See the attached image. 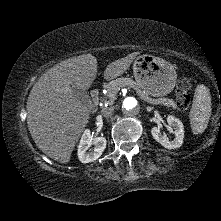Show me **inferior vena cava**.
<instances>
[{"mask_svg":"<svg viewBox=\"0 0 221 221\" xmlns=\"http://www.w3.org/2000/svg\"><path fill=\"white\" fill-rule=\"evenodd\" d=\"M114 106L106 107L102 110V115L106 118L110 117L114 111Z\"/></svg>","mask_w":221,"mask_h":221,"instance_id":"1","label":"inferior vena cava"}]
</instances>
